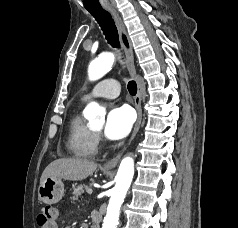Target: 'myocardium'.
<instances>
[{"label": "myocardium", "mask_w": 238, "mask_h": 228, "mask_svg": "<svg viewBox=\"0 0 238 228\" xmlns=\"http://www.w3.org/2000/svg\"><path fill=\"white\" fill-rule=\"evenodd\" d=\"M93 131L95 132L96 136H99L100 134L99 130H93Z\"/></svg>", "instance_id": "1"}]
</instances>
